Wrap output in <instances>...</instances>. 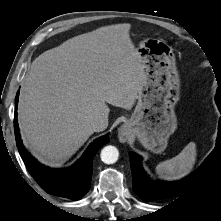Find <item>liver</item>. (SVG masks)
I'll list each match as a JSON object with an SVG mask.
<instances>
[{
    "label": "liver",
    "instance_id": "1",
    "mask_svg": "<svg viewBox=\"0 0 221 221\" xmlns=\"http://www.w3.org/2000/svg\"><path fill=\"white\" fill-rule=\"evenodd\" d=\"M116 24L75 36L31 64L18 103L22 140L42 163L66 162L93 134L107 104L131 109L146 79L129 35Z\"/></svg>",
    "mask_w": 221,
    "mask_h": 221
}]
</instances>
